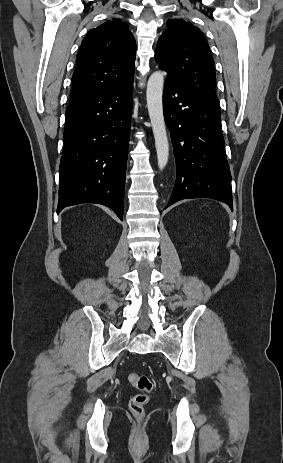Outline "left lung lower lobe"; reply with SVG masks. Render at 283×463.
Segmentation results:
<instances>
[{
  "label": "left lung lower lobe",
  "mask_w": 283,
  "mask_h": 463,
  "mask_svg": "<svg viewBox=\"0 0 283 463\" xmlns=\"http://www.w3.org/2000/svg\"><path fill=\"white\" fill-rule=\"evenodd\" d=\"M163 113L176 161V182L165 208L182 199L207 197L232 209L220 107L166 76Z\"/></svg>",
  "instance_id": "obj_1"
}]
</instances>
